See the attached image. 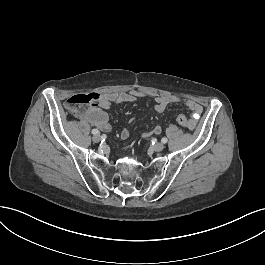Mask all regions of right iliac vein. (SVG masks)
Returning <instances> with one entry per match:
<instances>
[{
  "mask_svg": "<svg viewBox=\"0 0 265 265\" xmlns=\"http://www.w3.org/2000/svg\"><path fill=\"white\" fill-rule=\"evenodd\" d=\"M93 142L98 143L101 141V136L96 134L92 137Z\"/></svg>",
  "mask_w": 265,
  "mask_h": 265,
  "instance_id": "obj_1",
  "label": "right iliac vein"
}]
</instances>
